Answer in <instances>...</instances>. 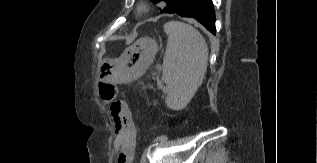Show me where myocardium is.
I'll use <instances>...</instances> for the list:
<instances>
[{
	"mask_svg": "<svg viewBox=\"0 0 317 163\" xmlns=\"http://www.w3.org/2000/svg\"><path fill=\"white\" fill-rule=\"evenodd\" d=\"M148 9H149L148 5L145 2H142L137 8V12L138 14H144L148 12Z\"/></svg>",
	"mask_w": 317,
	"mask_h": 163,
	"instance_id": "obj_1",
	"label": "myocardium"
}]
</instances>
